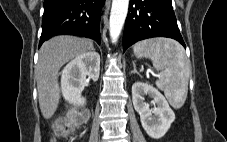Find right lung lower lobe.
I'll return each instance as SVG.
<instances>
[{
	"instance_id": "98d812e1",
	"label": "right lung lower lobe",
	"mask_w": 227,
	"mask_h": 142,
	"mask_svg": "<svg viewBox=\"0 0 227 142\" xmlns=\"http://www.w3.org/2000/svg\"><path fill=\"white\" fill-rule=\"evenodd\" d=\"M105 0H44L41 44L56 35H77L101 42L100 16Z\"/></svg>"
}]
</instances>
